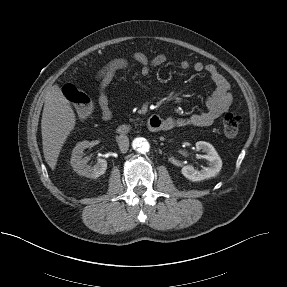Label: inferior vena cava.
<instances>
[{
    "instance_id": "1",
    "label": "inferior vena cava",
    "mask_w": 287,
    "mask_h": 287,
    "mask_svg": "<svg viewBox=\"0 0 287 287\" xmlns=\"http://www.w3.org/2000/svg\"><path fill=\"white\" fill-rule=\"evenodd\" d=\"M117 143L122 153H126L129 148V138L126 135L117 137Z\"/></svg>"
}]
</instances>
